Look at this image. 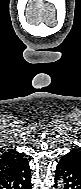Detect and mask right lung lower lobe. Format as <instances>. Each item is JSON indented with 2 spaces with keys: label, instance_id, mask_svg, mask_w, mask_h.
<instances>
[{
  "label": "right lung lower lobe",
  "instance_id": "98d812e1",
  "mask_svg": "<svg viewBox=\"0 0 81 189\" xmlns=\"http://www.w3.org/2000/svg\"><path fill=\"white\" fill-rule=\"evenodd\" d=\"M31 172L28 160L0 174V189H31Z\"/></svg>",
  "mask_w": 81,
  "mask_h": 189
}]
</instances>
